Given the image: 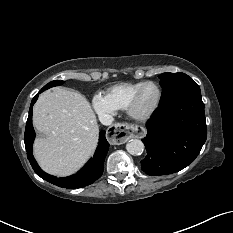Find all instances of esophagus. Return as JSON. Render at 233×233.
<instances>
[{
    "instance_id": "34e87169",
    "label": "esophagus",
    "mask_w": 233,
    "mask_h": 233,
    "mask_svg": "<svg viewBox=\"0 0 233 233\" xmlns=\"http://www.w3.org/2000/svg\"><path fill=\"white\" fill-rule=\"evenodd\" d=\"M144 135L145 130L143 127L127 123H116L105 132V139L111 144H122L130 137L142 138Z\"/></svg>"
}]
</instances>
